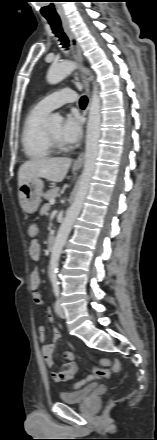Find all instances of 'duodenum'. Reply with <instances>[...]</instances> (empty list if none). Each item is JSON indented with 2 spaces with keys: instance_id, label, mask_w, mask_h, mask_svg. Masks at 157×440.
<instances>
[{
  "instance_id": "obj_1",
  "label": "duodenum",
  "mask_w": 157,
  "mask_h": 440,
  "mask_svg": "<svg viewBox=\"0 0 157 440\" xmlns=\"http://www.w3.org/2000/svg\"><path fill=\"white\" fill-rule=\"evenodd\" d=\"M54 244H55V238L53 236L49 237L47 242L48 249L51 250L54 247Z\"/></svg>"
}]
</instances>
